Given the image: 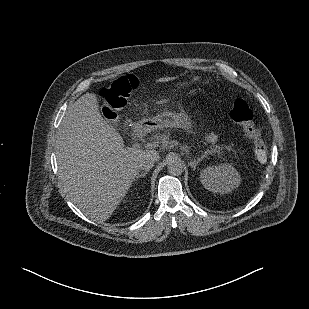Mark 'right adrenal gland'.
Returning a JSON list of instances; mask_svg holds the SVG:
<instances>
[{
  "mask_svg": "<svg viewBox=\"0 0 309 309\" xmlns=\"http://www.w3.org/2000/svg\"><path fill=\"white\" fill-rule=\"evenodd\" d=\"M147 174L148 171H145L144 173L139 174L137 178L145 177Z\"/></svg>",
  "mask_w": 309,
  "mask_h": 309,
  "instance_id": "obj_1",
  "label": "right adrenal gland"
}]
</instances>
